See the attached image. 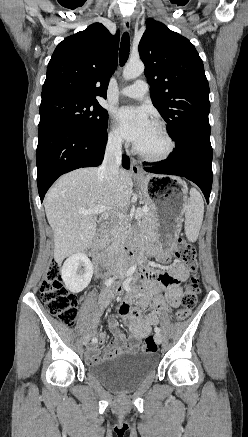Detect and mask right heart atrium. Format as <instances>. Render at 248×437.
Masks as SVG:
<instances>
[{
  "label": "right heart atrium",
  "mask_w": 248,
  "mask_h": 437,
  "mask_svg": "<svg viewBox=\"0 0 248 437\" xmlns=\"http://www.w3.org/2000/svg\"><path fill=\"white\" fill-rule=\"evenodd\" d=\"M107 142L113 148H118L122 145V138L114 125H111L108 129Z\"/></svg>",
  "instance_id": "right-heart-atrium-1"
}]
</instances>
